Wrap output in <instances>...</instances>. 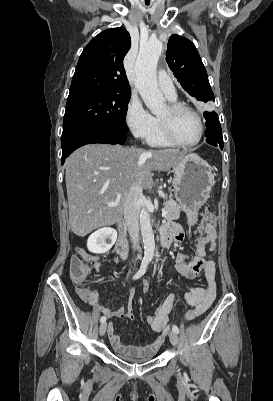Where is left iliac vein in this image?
Here are the masks:
<instances>
[{"instance_id": "4c4485c4", "label": "left iliac vein", "mask_w": 273, "mask_h": 401, "mask_svg": "<svg viewBox=\"0 0 273 401\" xmlns=\"http://www.w3.org/2000/svg\"><path fill=\"white\" fill-rule=\"evenodd\" d=\"M169 339H170V341H171V343H172L173 345H177V344H178L179 338H178L177 333L171 332V333L169 334Z\"/></svg>"}]
</instances>
